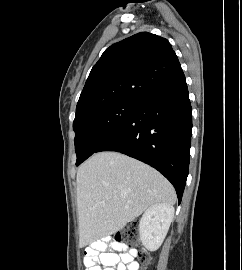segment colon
<instances>
[{
  "mask_svg": "<svg viewBox=\"0 0 242 270\" xmlns=\"http://www.w3.org/2000/svg\"><path fill=\"white\" fill-rule=\"evenodd\" d=\"M139 237V224L136 221L129 222L121 231L114 236V241L121 244H132L137 242ZM139 261L147 265L151 261V256L147 252L139 254Z\"/></svg>",
  "mask_w": 242,
  "mask_h": 270,
  "instance_id": "1",
  "label": "colon"
}]
</instances>
